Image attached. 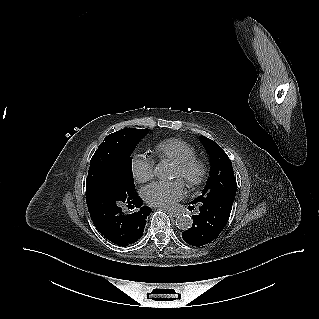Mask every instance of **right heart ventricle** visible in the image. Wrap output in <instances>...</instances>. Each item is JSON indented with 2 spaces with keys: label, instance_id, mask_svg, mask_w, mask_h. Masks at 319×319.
<instances>
[{
  "label": "right heart ventricle",
  "instance_id": "obj_1",
  "mask_svg": "<svg viewBox=\"0 0 319 319\" xmlns=\"http://www.w3.org/2000/svg\"><path fill=\"white\" fill-rule=\"evenodd\" d=\"M154 152L160 159H167L176 164L196 156L194 147L180 138H170L158 143Z\"/></svg>",
  "mask_w": 319,
  "mask_h": 319
}]
</instances>
